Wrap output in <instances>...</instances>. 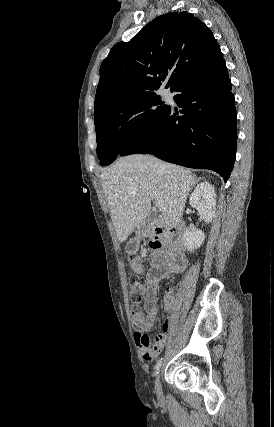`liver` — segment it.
I'll return each instance as SVG.
<instances>
[{
	"mask_svg": "<svg viewBox=\"0 0 274 427\" xmlns=\"http://www.w3.org/2000/svg\"><path fill=\"white\" fill-rule=\"evenodd\" d=\"M101 180L119 241H125L135 227L145 223L151 200L162 202V215L157 217L161 223L177 225L196 184L190 170L142 154L118 158L101 174Z\"/></svg>",
	"mask_w": 274,
	"mask_h": 427,
	"instance_id": "1",
	"label": "liver"
}]
</instances>
